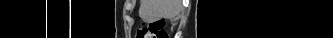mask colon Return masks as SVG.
I'll use <instances>...</instances> for the list:
<instances>
[{
    "label": "colon",
    "instance_id": "1",
    "mask_svg": "<svg viewBox=\"0 0 333 38\" xmlns=\"http://www.w3.org/2000/svg\"><path fill=\"white\" fill-rule=\"evenodd\" d=\"M137 38H168L165 31V20L158 18L143 22L137 32Z\"/></svg>",
    "mask_w": 333,
    "mask_h": 38
}]
</instances>
